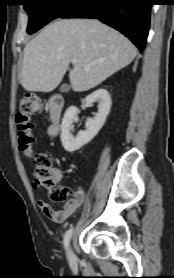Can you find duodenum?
<instances>
[{
    "mask_svg": "<svg viewBox=\"0 0 174 278\" xmlns=\"http://www.w3.org/2000/svg\"><path fill=\"white\" fill-rule=\"evenodd\" d=\"M64 108V99L60 94H53L48 99V109L51 125L49 134L55 135L59 130V123L62 117Z\"/></svg>",
    "mask_w": 174,
    "mask_h": 278,
    "instance_id": "duodenum-1",
    "label": "duodenum"
}]
</instances>
